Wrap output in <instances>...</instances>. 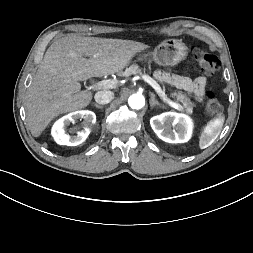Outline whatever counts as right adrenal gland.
<instances>
[{"label": "right adrenal gland", "mask_w": 253, "mask_h": 253, "mask_svg": "<svg viewBox=\"0 0 253 253\" xmlns=\"http://www.w3.org/2000/svg\"><path fill=\"white\" fill-rule=\"evenodd\" d=\"M96 108H99V109H102L103 108V106L102 105H99V104H97V103H92Z\"/></svg>", "instance_id": "right-adrenal-gland-1"}]
</instances>
